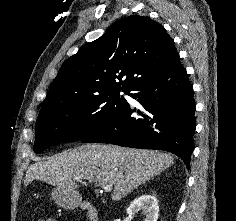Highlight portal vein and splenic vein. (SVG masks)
Here are the masks:
<instances>
[{
    "mask_svg": "<svg viewBox=\"0 0 236 221\" xmlns=\"http://www.w3.org/2000/svg\"><path fill=\"white\" fill-rule=\"evenodd\" d=\"M75 181L77 182H81L82 181V178L80 177H75L74 178ZM96 186H100L105 192H110L113 188L112 185H106V184H101V183H95Z\"/></svg>",
    "mask_w": 236,
    "mask_h": 221,
    "instance_id": "portal-vein-and-splenic-vein-1",
    "label": "portal vein and splenic vein"
}]
</instances>
